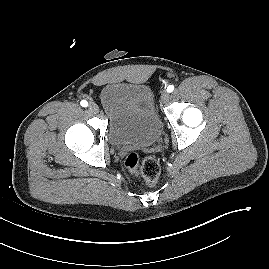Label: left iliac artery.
I'll return each instance as SVG.
<instances>
[{
	"label": "left iliac artery",
	"instance_id": "44dca946",
	"mask_svg": "<svg viewBox=\"0 0 269 269\" xmlns=\"http://www.w3.org/2000/svg\"><path fill=\"white\" fill-rule=\"evenodd\" d=\"M174 90V86L173 85H169L167 87V92L171 93Z\"/></svg>",
	"mask_w": 269,
	"mask_h": 269
}]
</instances>
